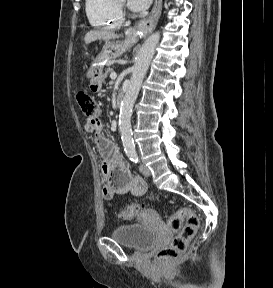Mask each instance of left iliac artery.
Returning a JSON list of instances; mask_svg holds the SVG:
<instances>
[{
	"mask_svg": "<svg viewBox=\"0 0 273 288\" xmlns=\"http://www.w3.org/2000/svg\"><path fill=\"white\" fill-rule=\"evenodd\" d=\"M129 158L131 161H133L134 163H138L139 162V157L137 155V153H131L129 154Z\"/></svg>",
	"mask_w": 273,
	"mask_h": 288,
	"instance_id": "obj_1",
	"label": "left iliac artery"
}]
</instances>
